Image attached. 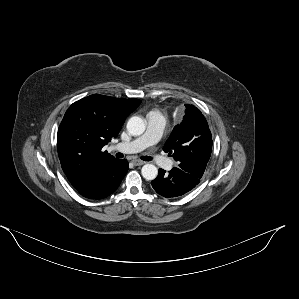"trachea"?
I'll list each match as a JSON object with an SVG mask.
<instances>
[{"label": "trachea", "mask_w": 299, "mask_h": 299, "mask_svg": "<svg viewBox=\"0 0 299 299\" xmlns=\"http://www.w3.org/2000/svg\"><path fill=\"white\" fill-rule=\"evenodd\" d=\"M116 157L117 158H123L124 155L122 153H116ZM141 159L144 160V161H151L152 157H150V156H142Z\"/></svg>", "instance_id": "trachea-1"}]
</instances>
